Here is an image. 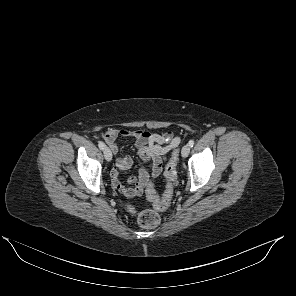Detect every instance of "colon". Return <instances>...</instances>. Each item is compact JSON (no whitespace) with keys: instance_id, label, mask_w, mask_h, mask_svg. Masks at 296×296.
<instances>
[{"instance_id":"5ec220e1","label":"colon","mask_w":296,"mask_h":296,"mask_svg":"<svg viewBox=\"0 0 296 296\" xmlns=\"http://www.w3.org/2000/svg\"><path fill=\"white\" fill-rule=\"evenodd\" d=\"M178 162V151H174L172 157L165 169V178L167 181L166 190L162 198H159L156 194L153 183L150 181L146 186L147 198L153 204L155 210H165L170 205L172 194H173V184L176 178L175 167ZM128 210L131 213H137V220L141 227L144 228H155L160 223V215L154 210H143L136 212L133 208L129 207Z\"/></svg>"}]
</instances>
